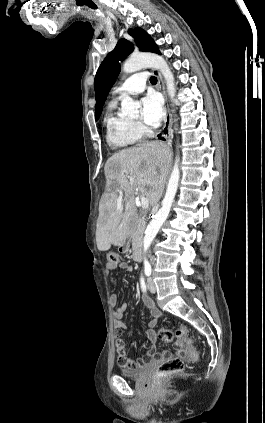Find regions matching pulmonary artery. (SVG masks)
Instances as JSON below:
<instances>
[{
  "label": "pulmonary artery",
  "instance_id": "obj_1",
  "mask_svg": "<svg viewBox=\"0 0 265 423\" xmlns=\"http://www.w3.org/2000/svg\"><path fill=\"white\" fill-rule=\"evenodd\" d=\"M147 80L145 72H139L131 76L114 91L115 98L119 99L124 95H134L143 92Z\"/></svg>",
  "mask_w": 265,
  "mask_h": 423
}]
</instances>
